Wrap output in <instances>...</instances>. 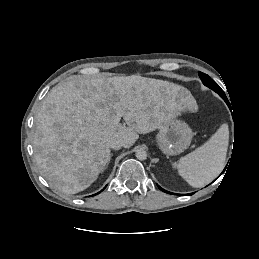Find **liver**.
<instances>
[{"label":"liver","mask_w":259,"mask_h":259,"mask_svg":"<svg viewBox=\"0 0 259 259\" xmlns=\"http://www.w3.org/2000/svg\"><path fill=\"white\" fill-rule=\"evenodd\" d=\"M185 108L196 109V101L168 81L76 76L53 87L43 100L35 117V160L52 187L76 194L106 169L112 140L129 148L139 134L156 130ZM119 113L124 124L115 122Z\"/></svg>","instance_id":"obj_1"}]
</instances>
